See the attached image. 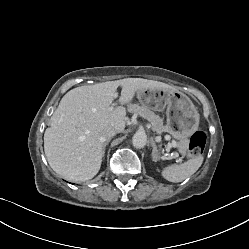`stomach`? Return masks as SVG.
<instances>
[{"label": "stomach", "instance_id": "0dacf381", "mask_svg": "<svg viewBox=\"0 0 249 249\" xmlns=\"http://www.w3.org/2000/svg\"><path fill=\"white\" fill-rule=\"evenodd\" d=\"M140 103L153 110L167 109V127L178 140L191 136L199 126V113L188 96L176 90L145 88L137 91Z\"/></svg>", "mask_w": 249, "mask_h": 249}]
</instances>
